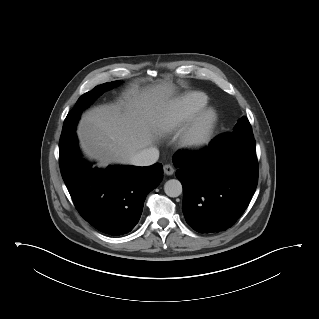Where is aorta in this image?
<instances>
[{
    "instance_id": "obj_1",
    "label": "aorta",
    "mask_w": 319,
    "mask_h": 319,
    "mask_svg": "<svg viewBox=\"0 0 319 319\" xmlns=\"http://www.w3.org/2000/svg\"><path fill=\"white\" fill-rule=\"evenodd\" d=\"M164 191L169 197H178L182 193V184L177 179H170L164 184Z\"/></svg>"
}]
</instances>
